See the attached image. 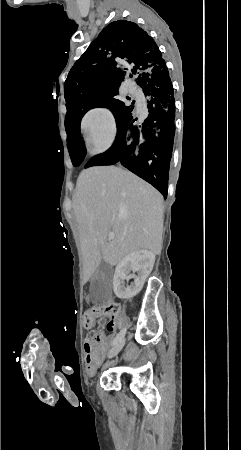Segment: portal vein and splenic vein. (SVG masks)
I'll return each instance as SVG.
<instances>
[{"label": "portal vein and splenic vein", "instance_id": "1", "mask_svg": "<svg viewBox=\"0 0 241 450\" xmlns=\"http://www.w3.org/2000/svg\"><path fill=\"white\" fill-rule=\"evenodd\" d=\"M112 238H115L114 232H110V234H109V240H112Z\"/></svg>", "mask_w": 241, "mask_h": 450}]
</instances>
